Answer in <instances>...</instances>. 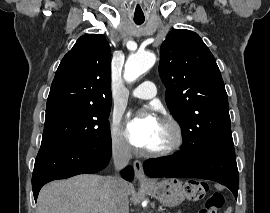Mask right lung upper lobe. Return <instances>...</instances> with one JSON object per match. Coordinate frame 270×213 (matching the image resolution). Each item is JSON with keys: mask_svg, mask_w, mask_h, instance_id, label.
<instances>
[{"mask_svg": "<svg viewBox=\"0 0 270 213\" xmlns=\"http://www.w3.org/2000/svg\"><path fill=\"white\" fill-rule=\"evenodd\" d=\"M111 49L102 34L81 36L63 57L47 108L62 105L111 106Z\"/></svg>", "mask_w": 270, "mask_h": 213, "instance_id": "1", "label": "right lung upper lobe"}]
</instances>
